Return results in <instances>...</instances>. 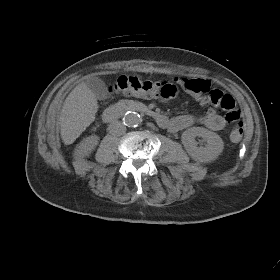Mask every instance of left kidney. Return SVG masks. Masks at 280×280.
I'll use <instances>...</instances> for the list:
<instances>
[{"instance_id":"5707ae66","label":"left kidney","mask_w":280,"mask_h":280,"mask_svg":"<svg viewBox=\"0 0 280 280\" xmlns=\"http://www.w3.org/2000/svg\"><path fill=\"white\" fill-rule=\"evenodd\" d=\"M196 136L207 142L205 147H197ZM182 142L187 153L195 160L205 162L214 160L223 150V141L220 136L203 127H193L182 134Z\"/></svg>"}]
</instances>
